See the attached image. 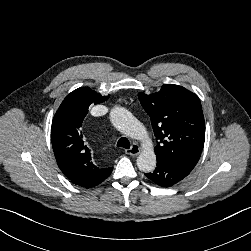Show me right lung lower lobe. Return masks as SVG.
<instances>
[{
    "label": "right lung lower lobe",
    "instance_id": "right-lung-lower-lobe-1",
    "mask_svg": "<svg viewBox=\"0 0 251 251\" xmlns=\"http://www.w3.org/2000/svg\"><path fill=\"white\" fill-rule=\"evenodd\" d=\"M111 172H112V168H111V171L107 174V176H106L102 181H104V180L111 174ZM102 181H101V182H102ZM101 182H100V183H101ZM97 185H98V184H97Z\"/></svg>",
    "mask_w": 251,
    "mask_h": 251
}]
</instances>
